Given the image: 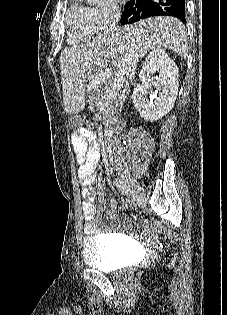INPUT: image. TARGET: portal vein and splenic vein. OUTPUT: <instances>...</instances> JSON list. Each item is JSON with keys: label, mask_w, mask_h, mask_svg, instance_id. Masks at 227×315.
Returning a JSON list of instances; mask_svg holds the SVG:
<instances>
[{"label": "portal vein and splenic vein", "mask_w": 227, "mask_h": 315, "mask_svg": "<svg viewBox=\"0 0 227 315\" xmlns=\"http://www.w3.org/2000/svg\"><path fill=\"white\" fill-rule=\"evenodd\" d=\"M123 76H124V73H120V72L116 73V76H115V78H114V85L111 86L110 88H108L107 93L112 94L113 92H115V89L117 88V86H119L120 82H121L122 79H123ZM104 79H105V78H104ZM102 81H103L102 78H100V77H95V78L93 79V81H92V84H93V85H95V84L100 85V84H102Z\"/></svg>", "instance_id": "1"}]
</instances>
